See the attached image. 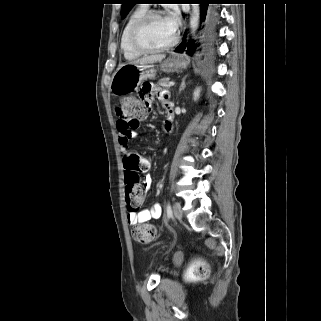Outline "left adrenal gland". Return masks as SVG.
<instances>
[{"label":"left adrenal gland","mask_w":321,"mask_h":321,"mask_svg":"<svg viewBox=\"0 0 321 321\" xmlns=\"http://www.w3.org/2000/svg\"><path fill=\"white\" fill-rule=\"evenodd\" d=\"M185 79H186V77H184V78L182 79V82H181V85H180V88H179V92H181V91H182L183 89H185V87H186Z\"/></svg>","instance_id":"1"}]
</instances>
